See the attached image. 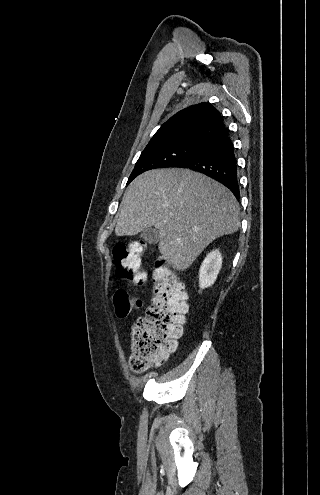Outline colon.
<instances>
[{
    "instance_id": "5ec220e1",
    "label": "colon",
    "mask_w": 320,
    "mask_h": 495,
    "mask_svg": "<svg viewBox=\"0 0 320 495\" xmlns=\"http://www.w3.org/2000/svg\"><path fill=\"white\" fill-rule=\"evenodd\" d=\"M143 246L135 242L119 243L113 257L119 279L144 283L141 270ZM154 295L145 314L139 317L131 330L130 367L134 372L146 370L174 351L183 329L187 313V295L177 276L159 262L153 273ZM113 301L119 317L129 315L139 302L126 290L117 288Z\"/></svg>"
}]
</instances>
